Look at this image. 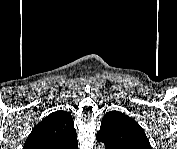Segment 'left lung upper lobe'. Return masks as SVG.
Returning <instances> with one entry per match:
<instances>
[{
	"instance_id": "obj_1",
	"label": "left lung upper lobe",
	"mask_w": 177,
	"mask_h": 149,
	"mask_svg": "<svg viewBox=\"0 0 177 149\" xmlns=\"http://www.w3.org/2000/svg\"><path fill=\"white\" fill-rule=\"evenodd\" d=\"M97 139L108 149H151L143 128L132 118L110 111L101 121Z\"/></svg>"
}]
</instances>
